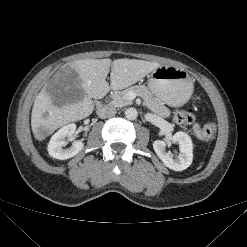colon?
Listing matches in <instances>:
<instances>
[{
    "label": "colon",
    "mask_w": 247,
    "mask_h": 247,
    "mask_svg": "<svg viewBox=\"0 0 247 247\" xmlns=\"http://www.w3.org/2000/svg\"><path fill=\"white\" fill-rule=\"evenodd\" d=\"M197 112L193 108L180 110L175 114V121L182 125H192L194 134L202 140H211L215 136V125L208 123L204 125L196 124Z\"/></svg>",
    "instance_id": "obj_1"
}]
</instances>
